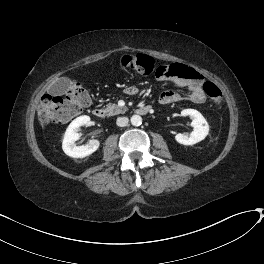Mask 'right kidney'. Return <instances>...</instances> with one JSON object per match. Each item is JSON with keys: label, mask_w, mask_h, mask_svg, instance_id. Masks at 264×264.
I'll return each instance as SVG.
<instances>
[{"label": "right kidney", "mask_w": 264, "mask_h": 264, "mask_svg": "<svg viewBox=\"0 0 264 264\" xmlns=\"http://www.w3.org/2000/svg\"><path fill=\"white\" fill-rule=\"evenodd\" d=\"M90 123L89 116H80L74 119L64 134L62 149L66 155L72 158H84L94 153L100 145L98 140H90L88 144L82 146H76L75 141L79 140L81 134L78 133L81 126L88 125Z\"/></svg>", "instance_id": "ca27d5eb"}]
</instances>
